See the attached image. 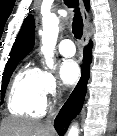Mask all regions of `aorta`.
Returning <instances> with one entry per match:
<instances>
[{
	"mask_svg": "<svg viewBox=\"0 0 117 136\" xmlns=\"http://www.w3.org/2000/svg\"><path fill=\"white\" fill-rule=\"evenodd\" d=\"M42 47L41 51L45 56L48 68H54L53 55L59 33V18L55 14H50L42 21ZM67 136H79L77 125H72L67 132Z\"/></svg>",
	"mask_w": 117,
	"mask_h": 136,
	"instance_id": "1",
	"label": "aorta"
}]
</instances>
